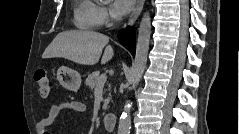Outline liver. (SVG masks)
I'll return each mask as SVG.
<instances>
[{
	"label": "liver",
	"instance_id": "6515ba94",
	"mask_svg": "<svg viewBox=\"0 0 239 134\" xmlns=\"http://www.w3.org/2000/svg\"><path fill=\"white\" fill-rule=\"evenodd\" d=\"M109 38L94 31H66L59 33L44 51L42 58H65L78 64L94 65L108 44ZM113 48H105L101 63L112 59Z\"/></svg>",
	"mask_w": 239,
	"mask_h": 134
}]
</instances>
